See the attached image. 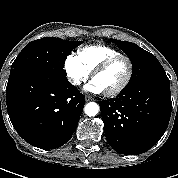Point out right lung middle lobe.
<instances>
[{
	"instance_id": "right-lung-middle-lobe-1",
	"label": "right lung middle lobe",
	"mask_w": 178,
	"mask_h": 178,
	"mask_svg": "<svg viewBox=\"0 0 178 178\" xmlns=\"http://www.w3.org/2000/svg\"><path fill=\"white\" fill-rule=\"evenodd\" d=\"M80 44L81 41H67L55 37L34 40L28 43L17 56L11 66L10 74L54 70L66 76L63 69L65 60Z\"/></svg>"
}]
</instances>
